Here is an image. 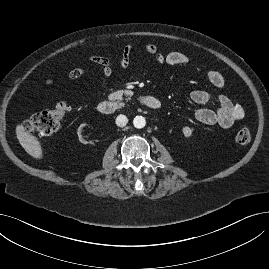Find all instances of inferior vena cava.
Here are the masks:
<instances>
[{"label":"inferior vena cava","mask_w":269,"mask_h":269,"mask_svg":"<svg viewBox=\"0 0 269 269\" xmlns=\"http://www.w3.org/2000/svg\"><path fill=\"white\" fill-rule=\"evenodd\" d=\"M128 123V118L125 115L120 114L116 118V125L119 127H124Z\"/></svg>","instance_id":"inferior-vena-cava-1"}]
</instances>
